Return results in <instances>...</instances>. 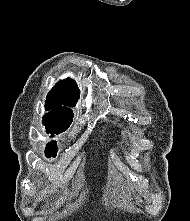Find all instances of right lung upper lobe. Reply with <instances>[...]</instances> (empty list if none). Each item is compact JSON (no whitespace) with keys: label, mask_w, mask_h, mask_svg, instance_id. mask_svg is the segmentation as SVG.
I'll use <instances>...</instances> for the list:
<instances>
[{"label":"right lung upper lobe","mask_w":190,"mask_h":221,"mask_svg":"<svg viewBox=\"0 0 190 221\" xmlns=\"http://www.w3.org/2000/svg\"><path fill=\"white\" fill-rule=\"evenodd\" d=\"M79 93L80 91L72 79L57 83L47 95L45 109L51 111L43 116V120L71 124L73 112L66 106L74 107Z\"/></svg>","instance_id":"right-lung-upper-lobe-1"}]
</instances>
